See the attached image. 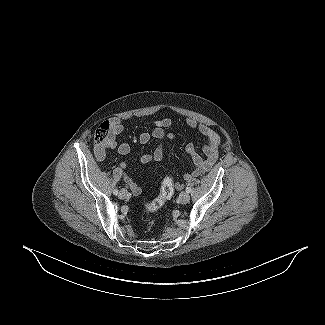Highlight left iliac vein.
Masks as SVG:
<instances>
[{
  "label": "left iliac vein",
  "mask_w": 325,
  "mask_h": 325,
  "mask_svg": "<svg viewBox=\"0 0 325 325\" xmlns=\"http://www.w3.org/2000/svg\"><path fill=\"white\" fill-rule=\"evenodd\" d=\"M179 200L181 203L186 204L190 200V196L187 192H181L179 195Z\"/></svg>",
  "instance_id": "4c4485c4"
}]
</instances>
